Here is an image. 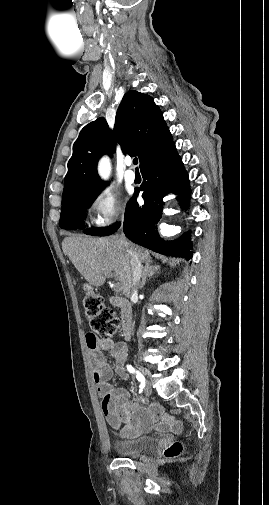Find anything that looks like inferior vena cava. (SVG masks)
Listing matches in <instances>:
<instances>
[{
  "label": "inferior vena cava",
  "mask_w": 269,
  "mask_h": 505,
  "mask_svg": "<svg viewBox=\"0 0 269 505\" xmlns=\"http://www.w3.org/2000/svg\"><path fill=\"white\" fill-rule=\"evenodd\" d=\"M121 237L125 238L123 233ZM127 252L130 255V262L132 267L131 288L133 293H137L143 267L135 250L129 247L128 245H127Z\"/></svg>",
  "instance_id": "1"
}]
</instances>
